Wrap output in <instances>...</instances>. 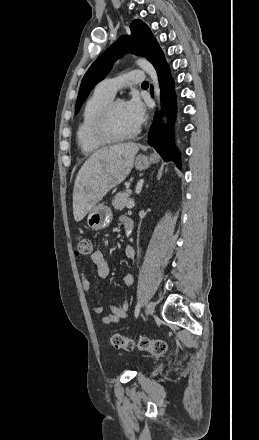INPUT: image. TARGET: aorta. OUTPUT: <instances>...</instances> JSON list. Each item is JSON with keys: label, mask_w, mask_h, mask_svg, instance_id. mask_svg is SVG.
Instances as JSON below:
<instances>
[{"label": "aorta", "mask_w": 259, "mask_h": 440, "mask_svg": "<svg viewBox=\"0 0 259 440\" xmlns=\"http://www.w3.org/2000/svg\"><path fill=\"white\" fill-rule=\"evenodd\" d=\"M137 65L144 70L151 78L153 87H154V94L155 97L158 101V103L160 102V86H159V81H158V76L156 73L155 68L153 67V65L147 61L146 59L140 58L136 61Z\"/></svg>", "instance_id": "762f6f07"}]
</instances>
